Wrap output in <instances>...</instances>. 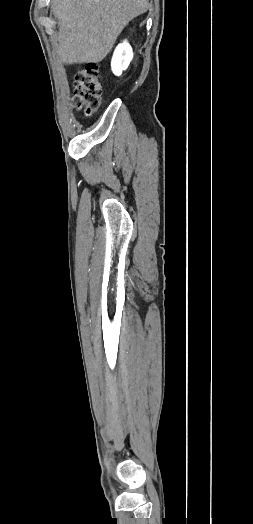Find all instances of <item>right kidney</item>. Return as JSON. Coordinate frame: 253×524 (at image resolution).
<instances>
[{"label":"right kidney","mask_w":253,"mask_h":524,"mask_svg":"<svg viewBox=\"0 0 253 524\" xmlns=\"http://www.w3.org/2000/svg\"><path fill=\"white\" fill-rule=\"evenodd\" d=\"M133 58V52L131 46L124 41L119 44L114 51L111 67L115 75H121L122 71L127 69Z\"/></svg>","instance_id":"right-kidney-1"}]
</instances>
